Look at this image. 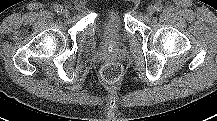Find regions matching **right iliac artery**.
I'll return each mask as SVG.
<instances>
[{
  "instance_id": "82829eb1",
  "label": "right iliac artery",
  "mask_w": 217,
  "mask_h": 121,
  "mask_svg": "<svg viewBox=\"0 0 217 121\" xmlns=\"http://www.w3.org/2000/svg\"><path fill=\"white\" fill-rule=\"evenodd\" d=\"M62 10H63V8H62L61 5H56V6H55V11H56L57 13H61Z\"/></svg>"
}]
</instances>
